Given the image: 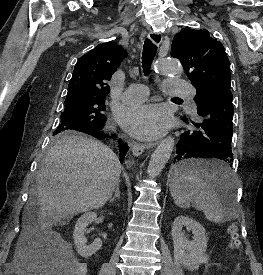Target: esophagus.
I'll return each mask as SVG.
<instances>
[{"mask_svg":"<svg viewBox=\"0 0 263 275\" xmlns=\"http://www.w3.org/2000/svg\"><path fill=\"white\" fill-rule=\"evenodd\" d=\"M148 38L157 46H159L162 42V35L157 32H149ZM158 142H153V143H148V144H141L137 142H132L131 147H132V153L134 156H140L145 148H152L157 145Z\"/></svg>","mask_w":263,"mask_h":275,"instance_id":"1","label":"esophagus"}]
</instances>
